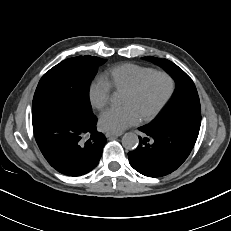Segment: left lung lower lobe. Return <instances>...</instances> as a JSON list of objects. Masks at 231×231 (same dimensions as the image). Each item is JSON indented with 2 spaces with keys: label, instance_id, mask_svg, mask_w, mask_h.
I'll return each mask as SVG.
<instances>
[{
  "label": "left lung lower lobe",
  "instance_id": "0a47b994",
  "mask_svg": "<svg viewBox=\"0 0 231 231\" xmlns=\"http://www.w3.org/2000/svg\"><path fill=\"white\" fill-rule=\"evenodd\" d=\"M199 127L189 125L139 128V146L128 153L130 165L149 177H162L172 173L189 156L199 134Z\"/></svg>",
  "mask_w": 231,
  "mask_h": 231
}]
</instances>
